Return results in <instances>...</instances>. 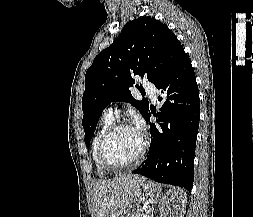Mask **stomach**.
<instances>
[{
	"label": "stomach",
	"mask_w": 253,
	"mask_h": 217,
	"mask_svg": "<svg viewBox=\"0 0 253 217\" xmlns=\"http://www.w3.org/2000/svg\"><path fill=\"white\" fill-rule=\"evenodd\" d=\"M161 194V186L150 180L140 181L133 192V203L138 206L147 200H154ZM134 210L128 209L121 217H129Z\"/></svg>",
	"instance_id": "0dacf381"
}]
</instances>
